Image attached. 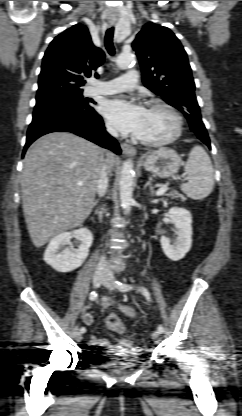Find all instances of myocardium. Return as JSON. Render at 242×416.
<instances>
[{"label": "myocardium", "instance_id": "1", "mask_svg": "<svg viewBox=\"0 0 242 416\" xmlns=\"http://www.w3.org/2000/svg\"><path fill=\"white\" fill-rule=\"evenodd\" d=\"M148 108H161L166 110L167 112H169L171 114V116L174 119V128L173 131L170 135H168L167 137L160 139V140H144L141 139L137 136L134 137V139L144 145V146H148V147H160L166 144H169L173 141H175L182 132V128H183V120H182V116L179 113V111L171 104L161 101V100H153L148 104Z\"/></svg>", "mask_w": 242, "mask_h": 416}]
</instances>
